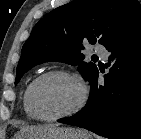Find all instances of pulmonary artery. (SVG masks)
<instances>
[{"label": "pulmonary artery", "mask_w": 141, "mask_h": 139, "mask_svg": "<svg viewBox=\"0 0 141 139\" xmlns=\"http://www.w3.org/2000/svg\"><path fill=\"white\" fill-rule=\"evenodd\" d=\"M94 51H95L97 54H99L101 57H103V58H107V57H108V52H107V50H106L104 47H102V46H96V47L94 48Z\"/></svg>", "instance_id": "pulmonary-artery-1"}]
</instances>
